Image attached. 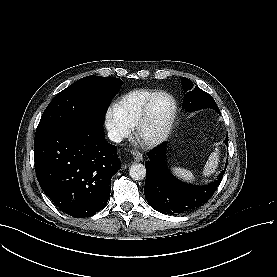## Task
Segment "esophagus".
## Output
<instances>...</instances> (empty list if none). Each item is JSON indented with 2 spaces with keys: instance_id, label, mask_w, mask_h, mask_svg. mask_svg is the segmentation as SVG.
Here are the masks:
<instances>
[{
  "instance_id": "esophagus-1",
  "label": "esophagus",
  "mask_w": 277,
  "mask_h": 277,
  "mask_svg": "<svg viewBox=\"0 0 277 277\" xmlns=\"http://www.w3.org/2000/svg\"><path fill=\"white\" fill-rule=\"evenodd\" d=\"M132 155H133L134 161H136V162H139L143 159L142 154L137 150H133Z\"/></svg>"
}]
</instances>
